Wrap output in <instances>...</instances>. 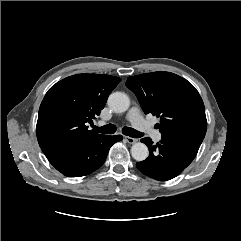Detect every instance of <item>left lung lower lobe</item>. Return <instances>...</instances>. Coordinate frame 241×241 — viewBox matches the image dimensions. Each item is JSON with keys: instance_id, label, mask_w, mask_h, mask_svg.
<instances>
[{"instance_id": "1", "label": "left lung lower lobe", "mask_w": 241, "mask_h": 241, "mask_svg": "<svg viewBox=\"0 0 241 241\" xmlns=\"http://www.w3.org/2000/svg\"><path fill=\"white\" fill-rule=\"evenodd\" d=\"M203 139L195 137L162 136L156 145L150 138L141 142L148 146L149 157L137 162L136 167L144 175L158 181H167L180 174L195 158Z\"/></svg>"}]
</instances>
